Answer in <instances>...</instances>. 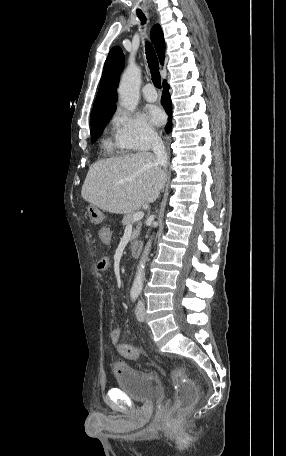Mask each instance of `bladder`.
<instances>
[{
	"label": "bladder",
	"mask_w": 286,
	"mask_h": 456,
	"mask_svg": "<svg viewBox=\"0 0 286 456\" xmlns=\"http://www.w3.org/2000/svg\"><path fill=\"white\" fill-rule=\"evenodd\" d=\"M114 373L117 387L134 401L151 403L164 398V388L158 377L138 372L124 363L116 364Z\"/></svg>",
	"instance_id": "bladder-1"
}]
</instances>
